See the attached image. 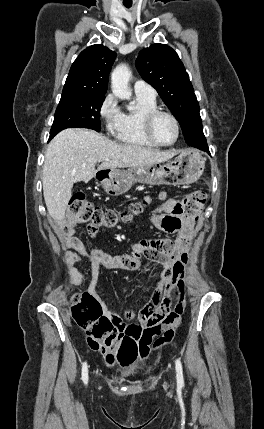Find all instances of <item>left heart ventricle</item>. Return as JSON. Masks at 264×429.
<instances>
[{"label":"left heart ventricle","instance_id":"left-heart-ventricle-1","mask_svg":"<svg viewBox=\"0 0 264 429\" xmlns=\"http://www.w3.org/2000/svg\"><path fill=\"white\" fill-rule=\"evenodd\" d=\"M153 129L155 137L162 143H170L176 136L175 125L167 116H159L155 120Z\"/></svg>","mask_w":264,"mask_h":429}]
</instances>
